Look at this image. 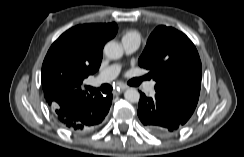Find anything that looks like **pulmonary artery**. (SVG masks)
<instances>
[{
	"mask_svg": "<svg viewBox=\"0 0 244 157\" xmlns=\"http://www.w3.org/2000/svg\"><path fill=\"white\" fill-rule=\"evenodd\" d=\"M140 41L136 39H123L122 40V46L124 48V51L126 54H131L135 52L139 47ZM120 65L119 64H113L106 69H104L99 76L97 77L95 84H101V83H107L112 81L117 77V75L120 72ZM154 88V82H148L145 85V91L146 92H152Z\"/></svg>",
	"mask_w": 244,
	"mask_h": 157,
	"instance_id": "obj_1",
	"label": "pulmonary artery"
}]
</instances>
